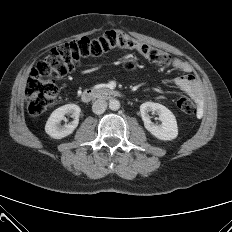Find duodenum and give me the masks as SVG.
<instances>
[{
	"label": "duodenum",
	"mask_w": 232,
	"mask_h": 232,
	"mask_svg": "<svg viewBox=\"0 0 232 232\" xmlns=\"http://www.w3.org/2000/svg\"><path fill=\"white\" fill-rule=\"evenodd\" d=\"M119 95V92L112 89H87L82 92L81 100L84 103H89L96 99H115Z\"/></svg>",
	"instance_id": "duodenum-1"
}]
</instances>
